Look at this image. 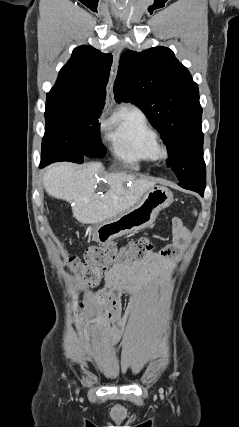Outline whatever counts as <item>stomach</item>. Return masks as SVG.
Listing matches in <instances>:
<instances>
[{
    "mask_svg": "<svg viewBox=\"0 0 239 427\" xmlns=\"http://www.w3.org/2000/svg\"><path fill=\"white\" fill-rule=\"evenodd\" d=\"M172 192L164 186L148 189L135 206L97 224L91 231L92 239L105 244L111 240L137 232L152 225L159 212L173 203Z\"/></svg>",
    "mask_w": 239,
    "mask_h": 427,
    "instance_id": "1",
    "label": "stomach"
}]
</instances>
